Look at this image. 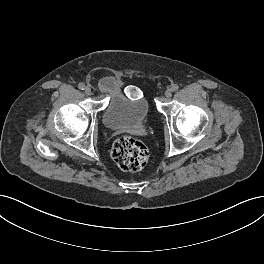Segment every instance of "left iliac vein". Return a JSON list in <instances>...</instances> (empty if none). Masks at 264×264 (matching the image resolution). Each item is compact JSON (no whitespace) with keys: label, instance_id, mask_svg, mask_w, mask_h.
Masks as SVG:
<instances>
[{"label":"left iliac vein","instance_id":"4c4485c4","mask_svg":"<svg viewBox=\"0 0 264 264\" xmlns=\"http://www.w3.org/2000/svg\"><path fill=\"white\" fill-rule=\"evenodd\" d=\"M172 96V90L171 89H167L166 91H165V97L166 98H170Z\"/></svg>","mask_w":264,"mask_h":264}]
</instances>
